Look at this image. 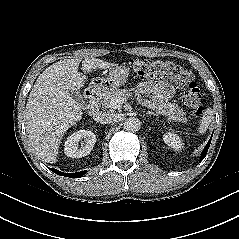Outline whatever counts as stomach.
Wrapping results in <instances>:
<instances>
[{"mask_svg": "<svg viewBox=\"0 0 239 239\" xmlns=\"http://www.w3.org/2000/svg\"><path fill=\"white\" fill-rule=\"evenodd\" d=\"M128 77V68L119 66L113 68L106 77L93 78L90 82V88L105 93L124 85Z\"/></svg>", "mask_w": 239, "mask_h": 239, "instance_id": "stomach-1", "label": "stomach"}]
</instances>
